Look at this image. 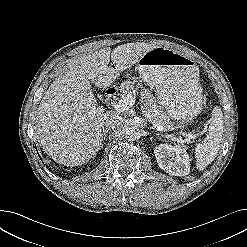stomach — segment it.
I'll use <instances>...</instances> for the list:
<instances>
[{
	"label": "stomach",
	"mask_w": 247,
	"mask_h": 247,
	"mask_svg": "<svg viewBox=\"0 0 247 247\" xmlns=\"http://www.w3.org/2000/svg\"><path fill=\"white\" fill-rule=\"evenodd\" d=\"M136 69L155 90L159 104L172 120L171 130L188 126L200 114L205 98L199 69L192 58L157 46L140 57Z\"/></svg>",
	"instance_id": "0dacf381"
}]
</instances>
